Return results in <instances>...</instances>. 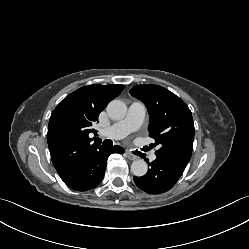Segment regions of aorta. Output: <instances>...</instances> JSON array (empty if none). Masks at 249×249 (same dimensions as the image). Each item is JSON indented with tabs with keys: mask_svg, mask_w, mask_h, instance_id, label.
I'll return each instance as SVG.
<instances>
[{
	"mask_svg": "<svg viewBox=\"0 0 249 249\" xmlns=\"http://www.w3.org/2000/svg\"><path fill=\"white\" fill-rule=\"evenodd\" d=\"M107 113L112 119H122L127 113V106L121 100H112L107 105ZM147 171L148 165L144 160L138 159L132 162L131 172L134 176L142 177L147 173Z\"/></svg>",
	"mask_w": 249,
	"mask_h": 249,
	"instance_id": "762f6f07",
	"label": "aorta"
}]
</instances>
